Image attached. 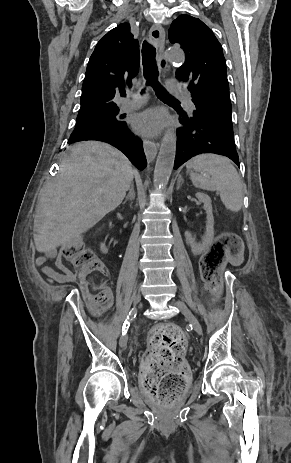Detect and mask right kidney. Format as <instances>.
<instances>
[{
	"label": "right kidney",
	"instance_id": "ca27d5eb",
	"mask_svg": "<svg viewBox=\"0 0 291 463\" xmlns=\"http://www.w3.org/2000/svg\"><path fill=\"white\" fill-rule=\"evenodd\" d=\"M100 249L101 251L105 252L107 249H106V246L104 244H101L100 246Z\"/></svg>",
	"mask_w": 291,
	"mask_h": 463
}]
</instances>
